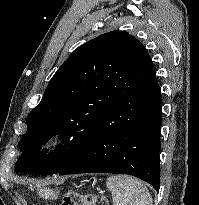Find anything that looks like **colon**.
Here are the masks:
<instances>
[{"label": "colon", "instance_id": "colon-1", "mask_svg": "<svg viewBox=\"0 0 199 205\" xmlns=\"http://www.w3.org/2000/svg\"><path fill=\"white\" fill-rule=\"evenodd\" d=\"M61 205H108L106 198L102 196L65 194Z\"/></svg>", "mask_w": 199, "mask_h": 205}]
</instances>
